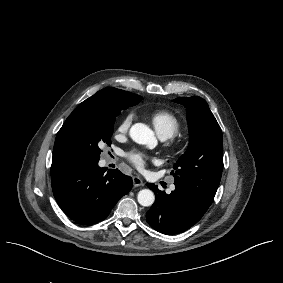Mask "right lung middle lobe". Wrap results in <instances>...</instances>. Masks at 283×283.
I'll return each instance as SVG.
<instances>
[{
    "instance_id": "right-lung-middle-lobe-1",
    "label": "right lung middle lobe",
    "mask_w": 283,
    "mask_h": 283,
    "mask_svg": "<svg viewBox=\"0 0 283 283\" xmlns=\"http://www.w3.org/2000/svg\"><path fill=\"white\" fill-rule=\"evenodd\" d=\"M142 99L124 102L106 110L89 112L76 116L66 129L69 147L81 163L99 161L100 146L111 143L115 117L121 110L138 104Z\"/></svg>"
}]
</instances>
